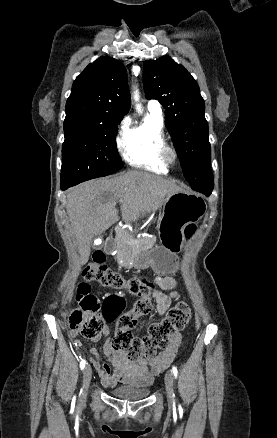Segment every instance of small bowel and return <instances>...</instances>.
<instances>
[{
	"mask_svg": "<svg viewBox=\"0 0 277 438\" xmlns=\"http://www.w3.org/2000/svg\"><path fill=\"white\" fill-rule=\"evenodd\" d=\"M155 283L160 288V290H154L152 292L156 302L155 313L157 316H162L170 307L171 300L178 296L177 292L173 290L176 281L170 276H158L155 279ZM163 291H168V293H164ZM143 327L144 324L140 323L136 329L141 330ZM109 334L110 329L104 328L102 333L98 337L93 338L92 341L98 342L101 339H105L103 353L109 359L113 367V373L110 370L109 362L105 360L99 362L95 360V357H91V360H95L93 362L95 367L101 366L99 374L103 385L107 387H114L118 383L132 385L137 388L150 387L154 383L155 377L160 375L168 367L181 341L180 335L175 334L171 338L168 348L158 357L150 360L140 359L133 362L128 360L123 352L114 349ZM70 337L77 345L81 344L78 333L71 332ZM91 354L97 355L98 349L92 348Z\"/></svg>",
	"mask_w": 277,
	"mask_h": 438,
	"instance_id": "small-bowel-1",
	"label": "small bowel"
}]
</instances>
